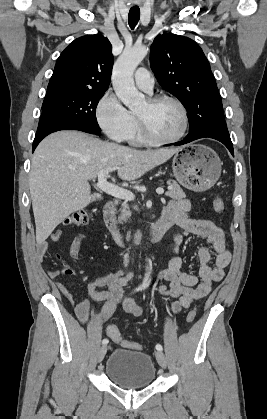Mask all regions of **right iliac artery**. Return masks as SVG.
<instances>
[{"label":"right iliac artery","mask_w":267,"mask_h":419,"mask_svg":"<svg viewBox=\"0 0 267 419\" xmlns=\"http://www.w3.org/2000/svg\"><path fill=\"white\" fill-rule=\"evenodd\" d=\"M140 290V288H137L135 291H139ZM109 341H108V339H103V341H102V343L103 344H107Z\"/></svg>","instance_id":"1"}]
</instances>
